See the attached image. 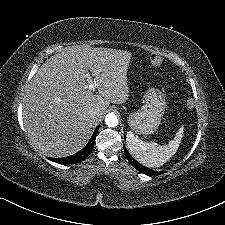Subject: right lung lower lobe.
<instances>
[{"label":"right lung lower lobe","mask_w":225,"mask_h":225,"mask_svg":"<svg viewBox=\"0 0 225 225\" xmlns=\"http://www.w3.org/2000/svg\"><path fill=\"white\" fill-rule=\"evenodd\" d=\"M99 126L95 129L91 139L89 140V142L87 143V145L81 149L80 151H78L77 153L68 156V157H64V158H49L51 161H55L59 164H75V163H79L81 161H83L84 159H86L90 153L93 150L94 147V143H95V137L96 134L98 132Z\"/></svg>","instance_id":"98d812e1"}]
</instances>
